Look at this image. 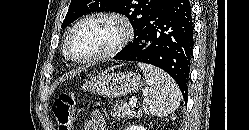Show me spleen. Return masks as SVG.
<instances>
[{
    "label": "spleen",
    "instance_id": "obj_1",
    "mask_svg": "<svg viewBox=\"0 0 249 130\" xmlns=\"http://www.w3.org/2000/svg\"><path fill=\"white\" fill-rule=\"evenodd\" d=\"M142 70L148 89L144 91L143 110L146 114L159 118L172 114L179 107L181 93L176 82L163 70L144 63H137Z\"/></svg>",
    "mask_w": 249,
    "mask_h": 130
}]
</instances>
